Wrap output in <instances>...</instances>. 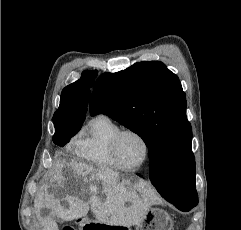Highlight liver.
<instances>
[{"instance_id":"obj_1","label":"liver","mask_w":241,"mask_h":230,"mask_svg":"<svg viewBox=\"0 0 241 230\" xmlns=\"http://www.w3.org/2000/svg\"><path fill=\"white\" fill-rule=\"evenodd\" d=\"M63 166L62 163H57V175L54 180L65 191H70L71 186L82 178L80 195L68 197L66 208L54 195L43 191L34 200L37 215L42 208H47L51 210L52 216L71 221L86 216L91 208L99 222L130 227L142 221L153 202L152 193L144 184L132 185L129 180L119 183V173L109 168L71 161L63 176ZM88 183L89 186L85 187L84 184ZM43 227L44 230H58L51 218L44 221Z\"/></svg>"}]
</instances>
